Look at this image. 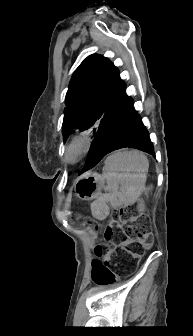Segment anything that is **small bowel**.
I'll list each match as a JSON object with an SVG mask.
<instances>
[{
    "label": "small bowel",
    "instance_id": "obj_1",
    "mask_svg": "<svg viewBox=\"0 0 193 336\" xmlns=\"http://www.w3.org/2000/svg\"><path fill=\"white\" fill-rule=\"evenodd\" d=\"M93 269H94V264H93V266H92V275H93Z\"/></svg>",
    "mask_w": 193,
    "mask_h": 336
}]
</instances>
